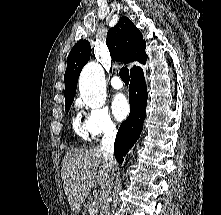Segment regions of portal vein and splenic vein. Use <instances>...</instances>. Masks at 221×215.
Listing matches in <instances>:
<instances>
[{
    "label": "portal vein and splenic vein",
    "mask_w": 221,
    "mask_h": 215,
    "mask_svg": "<svg viewBox=\"0 0 221 215\" xmlns=\"http://www.w3.org/2000/svg\"><path fill=\"white\" fill-rule=\"evenodd\" d=\"M97 211V207L95 205H92L88 212H89V215H92L93 213H95Z\"/></svg>",
    "instance_id": "obj_1"
}]
</instances>
